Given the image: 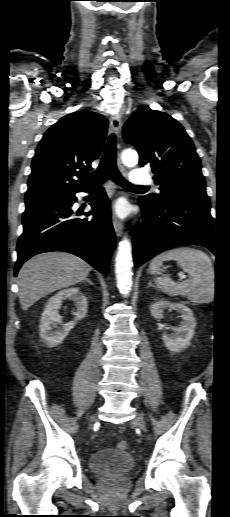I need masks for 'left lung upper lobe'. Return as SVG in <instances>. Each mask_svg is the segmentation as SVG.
<instances>
[{"mask_svg": "<svg viewBox=\"0 0 230 517\" xmlns=\"http://www.w3.org/2000/svg\"><path fill=\"white\" fill-rule=\"evenodd\" d=\"M125 142L135 145L140 166L149 164L159 185L160 195L140 198L160 206L176 198L208 197L201 161L184 128L170 115L142 107L135 111L123 129Z\"/></svg>", "mask_w": 230, "mask_h": 517, "instance_id": "left-lung-upper-lobe-1", "label": "left lung upper lobe"}]
</instances>
